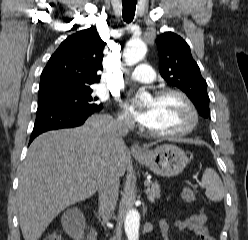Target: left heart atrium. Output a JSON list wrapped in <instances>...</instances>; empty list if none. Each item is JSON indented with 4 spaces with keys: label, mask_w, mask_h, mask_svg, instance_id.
I'll return each mask as SVG.
<instances>
[{
    "label": "left heart atrium",
    "mask_w": 248,
    "mask_h": 240,
    "mask_svg": "<svg viewBox=\"0 0 248 240\" xmlns=\"http://www.w3.org/2000/svg\"><path fill=\"white\" fill-rule=\"evenodd\" d=\"M127 107L131 111L135 119L142 125L148 127L153 120V109L151 107H146L143 109H137L135 104L129 100L127 101Z\"/></svg>",
    "instance_id": "left-heart-atrium-1"
}]
</instances>
